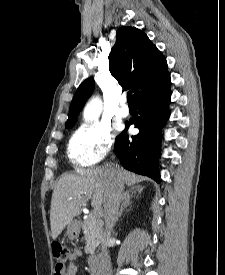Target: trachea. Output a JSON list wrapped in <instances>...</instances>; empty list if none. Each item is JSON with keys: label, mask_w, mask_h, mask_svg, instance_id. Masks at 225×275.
I'll use <instances>...</instances> for the list:
<instances>
[{"label": "trachea", "mask_w": 225, "mask_h": 275, "mask_svg": "<svg viewBox=\"0 0 225 275\" xmlns=\"http://www.w3.org/2000/svg\"><path fill=\"white\" fill-rule=\"evenodd\" d=\"M127 102L129 105H133V96H132V92H128L127 93Z\"/></svg>", "instance_id": "3493384b"}]
</instances>
